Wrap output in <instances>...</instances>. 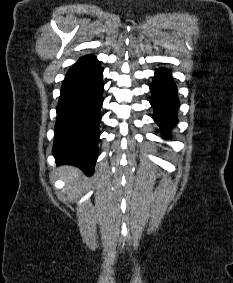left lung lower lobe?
<instances>
[{"label":"left lung lower lobe","instance_id":"obj_1","mask_svg":"<svg viewBox=\"0 0 233 283\" xmlns=\"http://www.w3.org/2000/svg\"><path fill=\"white\" fill-rule=\"evenodd\" d=\"M150 90L152 92L150 103L154 108L153 119L167 134L177 123L176 112L179 108L177 89L170 71L165 68L158 69L150 85Z\"/></svg>","mask_w":233,"mask_h":283}]
</instances>
